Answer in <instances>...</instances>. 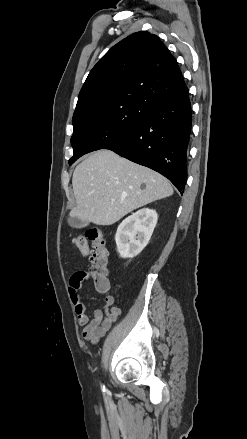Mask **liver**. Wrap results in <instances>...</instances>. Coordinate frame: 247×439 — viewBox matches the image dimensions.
<instances>
[{"mask_svg":"<svg viewBox=\"0 0 247 439\" xmlns=\"http://www.w3.org/2000/svg\"><path fill=\"white\" fill-rule=\"evenodd\" d=\"M72 185L76 207L71 216L103 226L173 194L164 176L106 149L91 154L75 168Z\"/></svg>","mask_w":247,"mask_h":439,"instance_id":"6515ba94","label":"liver"}]
</instances>
